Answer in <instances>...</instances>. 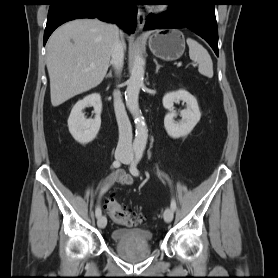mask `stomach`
Returning a JSON list of instances; mask_svg holds the SVG:
<instances>
[{
	"mask_svg": "<svg viewBox=\"0 0 278 278\" xmlns=\"http://www.w3.org/2000/svg\"><path fill=\"white\" fill-rule=\"evenodd\" d=\"M149 48L160 59L177 60L184 53L185 38L183 33L177 29L157 31L149 37Z\"/></svg>",
	"mask_w": 278,
	"mask_h": 278,
	"instance_id": "0dacf381",
	"label": "stomach"
}]
</instances>
